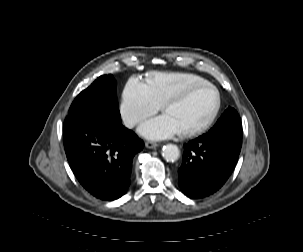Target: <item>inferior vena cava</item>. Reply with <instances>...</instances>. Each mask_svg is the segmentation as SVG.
<instances>
[{"mask_svg": "<svg viewBox=\"0 0 303 252\" xmlns=\"http://www.w3.org/2000/svg\"><path fill=\"white\" fill-rule=\"evenodd\" d=\"M137 121L134 119L126 118L124 119V125L128 128H133L136 125Z\"/></svg>", "mask_w": 303, "mask_h": 252, "instance_id": "1", "label": "inferior vena cava"}]
</instances>
